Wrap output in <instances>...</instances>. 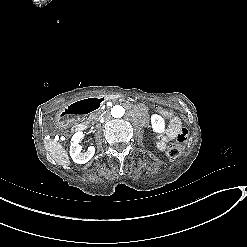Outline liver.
Returning <instances> with one entry per match:
<instances>
[{
  "mask_svg": "<svg viewBox=\"0 0 247 247\" xmlns=\"http://www.w3.org/2000/svg\"><path fill=\"white\" fill-rule=\"evenodd\" d=\"M43 145L53 164L64 168H68L71 165L68 151L61 142L56 139L46 138L43 141Z\"/></svg>",
  "mask_w": 247,
  "mask_h": 247,
  "instance_id": "obj_1",
  "label": "liver"
}]
</instances>
